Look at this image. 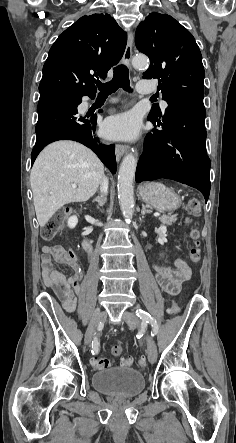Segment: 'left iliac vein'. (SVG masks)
<instances>
[{
	"label": "left iliac vein",
	"mask_w": 236,
	"mask_h": 443,
	"mask_svg": "<svg viewBox=\"0 0 236 443\" xmlns=\"http://www.w3.org/2000/svg\"><path fill=\"white\" fill-rule=\"evenodd\" d=\"M123 318L130 328L139 327V323H140L139 318L134 313L129 312V311H125L123 314ZM146 342H147L148 360H149V362L154 363L157 360L156 344L150 335L146 336Z\"/></svg>",
	"instance_id": "4c4485c4"
}]
</instances>
